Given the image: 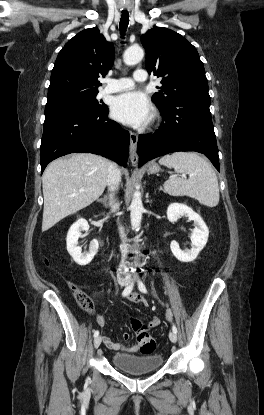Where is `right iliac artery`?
<instances>
[{"instance_id":"obj_1","label":"right iliac artery","mask_w":264,"mask_h":415,"mask_svg":"<svg viewBox=\"0 0 264 415\" xmlns=\"http://www.w3.org/2000/svg\"><path fill=\"white\" fill-rule=\"evenodd\" d=\"M133 286H134V282H132L130 285H128L124 290H123V292H122V296H128L130 293H131V291H132V289H133ZM99 335V331L98 330H96V331H94V337H97Z\"/></svg>"}]
</instances>
